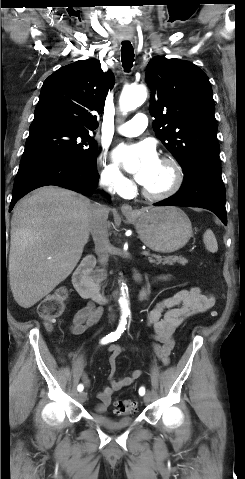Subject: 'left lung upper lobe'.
Instances as JSON below:
<instances>
[{
  "label": "left lung upper lobe",
  "instance_id": "left-lung-upper-lobe-1",
  "mask_svg": "<svg viewBox=\"0 0 245 479\" xmlns=\"http://www.w3.org/2000/svg\"><path fill=\"white\" fill-rule=\"evenodd\" d=\"M146 80L151 89L155 134L183 171L201 160L219 158L213 92L207 75L189 61L158 56L148 63Z\"/></svg>",
  "mask_w": 245,
  "mask_h": 479
}]
</instances>
